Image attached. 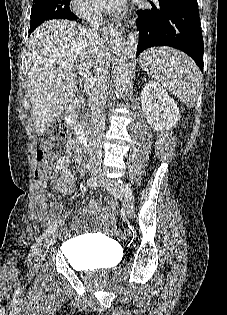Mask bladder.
Listing matches in <instances>:
<instances>
[{"label":"bladder","instance_id":"bladder-1","mask_svg":"<svg viewBox=\"0 0 227 315\" xmlns=\"http://www.w3.org/2000/svg\"><path fill=\"white\" fill-rule=\"evenodd\" d=\"M67 245L75 250L70 264L80 270L111 268L119 260L118 250L106 238L81 236L68 240Z\"/></svg>","mask_w":227,"mask_h":315}]
</instances>
